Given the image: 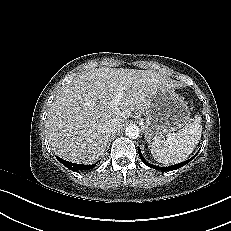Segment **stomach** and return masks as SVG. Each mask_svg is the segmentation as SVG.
<instances>
[{
	"label": "stomach",
	"mask_w": 231,
	"mask_h": 231,
	"mask_svg": "<svg viewBox=\"0 0 231 231\" xmlns=\"http://www.w3.org/2000/svg\"><path fill=\"white\" fill-rule=\"evenodd\" d=\"M145 120V138L155 141L188 124L190 111L187 102L174 89H159L145 108Z\"/></svg>",
	"instance_id": "stomach-1"
}]
</instances>
